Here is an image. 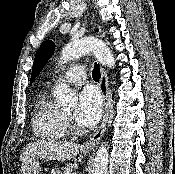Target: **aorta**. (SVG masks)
Masks as SVG:
<instances>
[{
    "mask_svg": "<svg viewBox=\"0 0 175 174\" xmlns=\"http://www.w3.org/2000/svg\"><path fill=\"white\" fill-rule=\"evenodd\" d=\"M89 52H92L101 64L109 68L114 67V57L109 47L94 37L82 38L67 44L61 52L60 64L67 63ZM55 94L56 102L60 106L74 107L76 105L77 98L66 83L58 84ZM108 158V148L102 144L95 156L92 174H107Z\"/></svg>",
    "mask_w": 175,
    "mask_h": 174,
    "instance_id": "762f6f07",
    "label": "aorta"
}]
</instances>
